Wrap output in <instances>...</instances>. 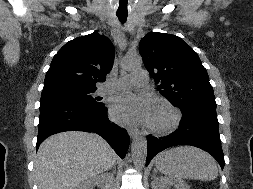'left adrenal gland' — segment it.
I'll return each mask as SVG.
<instances>
[{
	"instance_id": "obj_1",
	"label": "left adrenal gland",
	"mask_w": 253,
	"mask_h": 189,
	"mask_svg": "<svg viewBox=\"0 0 253 189\" xmlns=\"http://www.w3.org/2000/svg\"><path fill=\"white\" fill-rule=\"evenodd\" d=\"M154 175H153V177H155L156 176V174H157V170L156 169H154Z\"/></svg>"
}]
</instances>
